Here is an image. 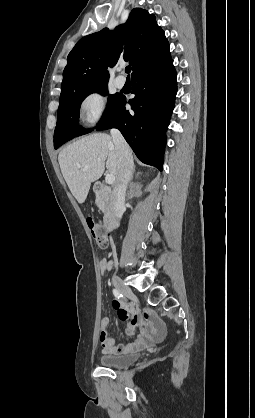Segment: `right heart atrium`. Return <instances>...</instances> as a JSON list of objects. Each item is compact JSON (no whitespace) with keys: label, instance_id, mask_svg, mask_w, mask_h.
<instances>
[{"label":"right heart atrium","instance_id":"d8ad5b80","mask_svg":"<svg viewBox=\"0 0 255 418\" xmlns=\"http://www.w3.org/2000/svg\"><path fill=\"white\" fill-rule=\"evenodd\" d=\"M105 97L99 91L85 95L79 104V118L85 125L97 123L105 112Z\"/></svg>","mask_w":255,"mask_h":418}]
</instances>
